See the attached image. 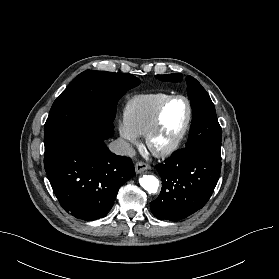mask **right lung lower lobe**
<instances>
[{"instance_id": "1", "label": "right lung lower lobe", "mask_w": 279, "mask_h": 279, "mask_svg": "<svg viewBox=\"0 0 279 279\" xmlns=\"http://www.w3.org/2000/svg\"><path fill=\"white\" fill-rule=\"evenodd\" d=\"M112 134L106 124L89 123L46 171L61 206L75 218L105 217L119 188L135 175L131 159L111 153L104 144Z\"/></svg>"}]
</instances>
